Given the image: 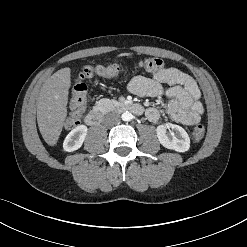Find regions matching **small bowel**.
Here are the masks:
<instances>
[{
    "label": "small bowel",
    "mask_w": 247,
    "mask_h": 247,
    "mask_svg": "<svg viewBox=\"0 0 247 247\" xmlns=\"http://www.w3.org/2000/svg\"><path fill=\"white\" fill-rule=\"evenodd\" d=\"M128 90L138 96L165 97L171 119L185 125L198 123L203 114L196 82L177 68L164 69L152 77L136 76L129 82ZM146 117L149 121L156 122L160 112L156 108H149Z\"/></svg>",
    "instance_id": "c3829d8e"
}]
</instances>
